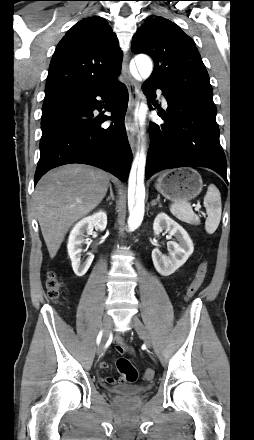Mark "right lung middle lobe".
I'll use <instances>...</instances> for the list:
<instances>
[{
	"label": "right lung middle lobe",
	"instance_id": "dd1d6c3e",
	"mask_svg": "<svg viewBox=\"0 0 254 440\" xmlns=\"http://www.w3.org/2000/svg\"><path fill=\"white\" fill-rule=\"evenodd\" d=\"M58 96L59 95L45 99L42 106V116H45L54 108L56 102L60 99Z\"/></svg>",
	"mask_w": 254,
	"mask_h": 440
}]
</instances>
